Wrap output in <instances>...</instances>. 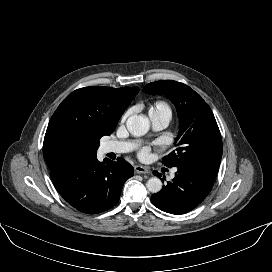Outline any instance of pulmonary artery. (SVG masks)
I'll return each mask as SVG.
<instances>
[{"mask_svg":"<svg viewBox=\"0 0 272 272\" xmlns=\"http://www.w3.org/2000/svg\"><path fill=\"white\" fill-rule=\"evenodd\" d=\"M170 119L166 116H157L150 119L153 130L160 131L165 129ZM135 147L134 142H108L105 145L106 152L125 153L131 151Z\"/></svg>","mask_w":272,"mask_h":272,"instance_id":"pulmonary-artery-1","label":"pulmonary artery"}]
</instances>
